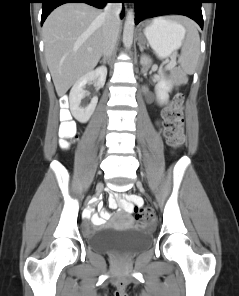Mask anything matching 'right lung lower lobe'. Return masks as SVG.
<instances>
[{"mask_svg":"<svg viewBox=\"0 0 239 296\" xmlns=\"http://www.w3.org/2000/svg\"><path fill=\"white\" fill-rule=\"evenodd\" d=\"M112 1L122 2L123 0H40V3H42L41 25L44 23L45 19L50 14V12L61 4L87 3L97 8H103L106 5V3H109ZM123 16H124V12L121 14V17Z\"/></svg>","mask_w":239,"mask_h":296,"instance_id":"right-lung-lower-lobe-1","label":"right lung lower lobe"}]
</instances>
